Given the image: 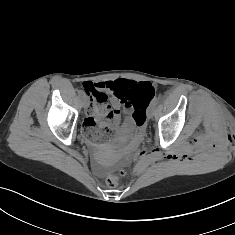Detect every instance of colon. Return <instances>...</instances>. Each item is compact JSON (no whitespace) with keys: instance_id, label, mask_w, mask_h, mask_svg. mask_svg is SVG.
<instances>
[{"instance_id":"colon-1","label":"colon","mask_w":235,"mask_h":235,"mask_svg":"<svg viewBox=\"0 0 235 235\" xmlns=\"http://www.w3.org/2000/svg\"><path fill=\"white\" fill-rule=\"evenodd\" d=\"M125 99L129 100L134 108L133 118L137 127L143 131L146 125V112L141 104V99L143 97L152 98L154 96V89L149 83H128L127 90L121 93ZM99 98H103V96H99ZM103 112L96 114L95 121L99 127H101L104 123L103 120ZM125 175L124 169H118L108 174L106 178V183L110 187H115L119 184L121 178Z\"/></svg>"}]
</instances>
